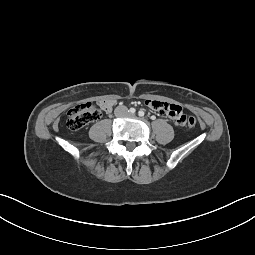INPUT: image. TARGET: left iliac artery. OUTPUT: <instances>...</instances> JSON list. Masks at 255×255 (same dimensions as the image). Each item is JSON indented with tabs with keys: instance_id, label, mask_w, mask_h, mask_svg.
Here are the masks:
<instances>
[{
	"instance_id": "obj_1",
	"label": "left iliac artery",
	"mask_w": 255,
	"mask_h": 255,
	"mask_svg": "<svg viewBox=\"0 0 255 255\" xmlns=\"http://www.w3.org/2000/svg\"><path fill=\"white\" fill-rule=\"evenodd\" d=\"M138 115H139L140 117H143V116L145 115V113H144L143 110H140V111L138 112Z\"/></svg>"
}]
</instances>
